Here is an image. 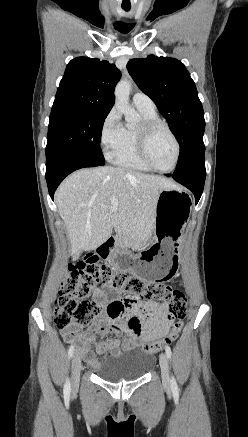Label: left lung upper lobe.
I'll list each match as a JSON object with an SVG mask.
<instances>
[{"mask_svg":"<svg viewBox=\"0 0 248 437\" xmlns=\"http://www.w3.org/2000/svg\"><path fill=\"white\" fill-rule=\"evenodd\" d=\"M127 69L138 87L155 102L178 140L180 155L174 174L204 159V112L184 64L174 58L149 55L130 60Z\"/></svg>","mask_w":248,"mask_h":437,"instance_id":"obj_1","label":"left lung upper lobe"}]
</instances>
